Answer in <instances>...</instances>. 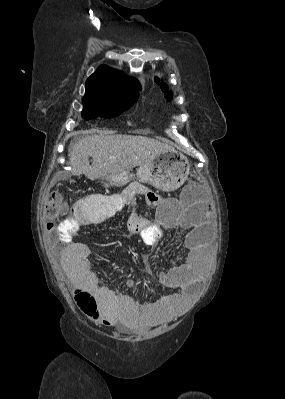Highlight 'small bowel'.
<instances>
[{"mask_svg":"<svg viewBox=\"0 0 285 399\" xmlns=\"http://www.w3.org/2000/svg\"><path fill=\"white\" fill-rule=\"evenodd\" d=\"M148 193L141 185L131 184L120 195L80 198L71 205V216L60 225V229L78 233L84 227L96 226L127 210V230L139 232L145 243L154 244L163 236L162 227L155 220L142 218L136 211V196ZM157 208H163V204H158ZM191 211L193 216L197 214L195 206H191ZM173 225L178 226V222ZM200 238L199 231L187 234L184 239V260L176 262L167 273L157 277L162 286L178 292L162 296L156 293L154 285L146 284L143 290L155 295L154 301L146 304L138 303L127 293L100 285L89 265L92 249L88 244H66L61 250V260L68 274L76 305L90 319L104 325L126 322L146 329L180 316L191 304L198 291L199 280L205 272L207 261ZM127 284L136 290L132 282ZM90 301L95 303L94 307L86 306Z\"/></svg>","mask_w":285,"mask_h":399,"instance_id":"c3829d8e","label":"small bowel"}]
</instances>
